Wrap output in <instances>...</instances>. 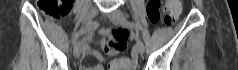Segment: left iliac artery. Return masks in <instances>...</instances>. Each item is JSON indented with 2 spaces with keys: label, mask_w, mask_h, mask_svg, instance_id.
<instances>
[{
  "label": "left iliac artery",
  "mask_w": 238,
  "mask_h": 70,
  "mask_svg": "<svg viewBox=\"0 0 238 70\" xmlns=\"http://www.w3.org/2000/svg\"><path fill=\"white\" fill-rule=\"evenodd\" d=\"M126 25L128 26V27H131V28H134L136 31H138V30H142L141 29V27L138 25V24H135V23H133V22H127L126 23ZM143 32V35L145 36V37H143V42H149V38H150V33H145L144 31H142Z\"/></svg>",
  "instance_id": "44dca946"
}]
</instances>
